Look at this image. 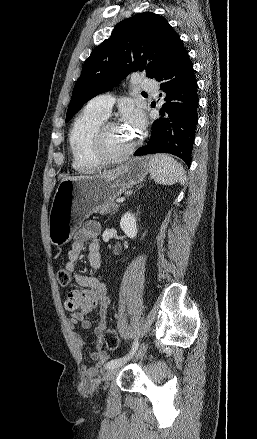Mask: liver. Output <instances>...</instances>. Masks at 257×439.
Listing matches in <instances>:
<instances>
[{
    "label": "liver",
    "mask_w": 257,
    "mask_h": 439,
    "mask_svg": "<svg viewBox=\"0 0 257 439\" xmlns=\"http://www.w3.org/2000/svg\"><path fill=\"white\" fill-rule=\"evenodd\" d=\"M82 177H85V176H80V177H67V178H64L63 180L76 179V178H82ZM63 180H62V181H63Z\"/></svg>",
    "instance_id": "1"
}]
</instances>
